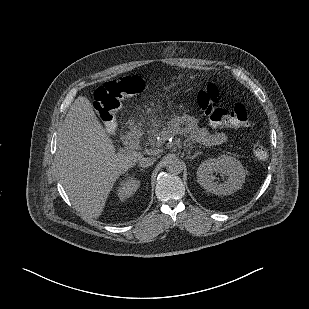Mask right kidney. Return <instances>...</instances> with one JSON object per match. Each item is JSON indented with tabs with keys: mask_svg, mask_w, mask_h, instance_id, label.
I'll return each instance as SVG.
<instances>
[{
	"mask_svg": "<svg viewBox=\"0 0 309 309\" xmlns=\"http://www.w3.org/2000/svg\"><path fill=\"white\" fill-rule=\"evenodd\" d=\"M139 186L140 180L133 177H128L122 182H120L119 186L116 189L117 195L120 199L128 198L136 192Z\"/></svg>",
	"mask_w": 309,
	"mask_h": 309,
	"instance_id": "obj_1",
	"label": "right kidney"
}]
</instances>
